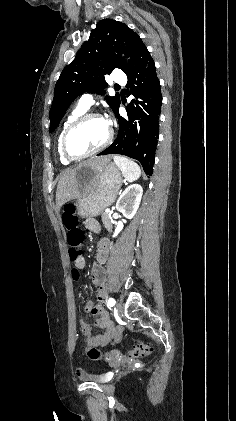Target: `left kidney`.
Returning a JSON list of instances; mask_svg holds the SVG:
<instances>
[{
  "label": "left kidney",
  "instance_id": "5707ae66",
  "mask_svg": "<svg viewBox=\"0 0 236 421\" xmlns=\"http://www.w3.org/2000/svg\"><path fill=\"white\" fill-rule=\"evenodd\" d=\"M142 194L143 188L141 184H130V186H127L116 202L117 211H120L126 219H133L138 211Z\"/></svg>",
  "mask_w": 236,
  "mask_h": 421
}]
</instances>
